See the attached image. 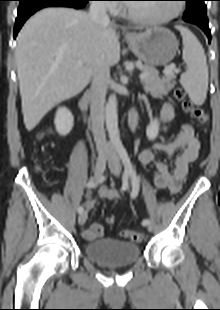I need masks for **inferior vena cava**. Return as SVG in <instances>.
Masks as SVG:
<instances>
[{
	"label": "inferior vena cava",
	"mask_w": 220,
	"mask_h": 310,
	"mask_svg": "<svg viewBox=\"0 0 220 310\" xmlns=\"http://www.w3.org/2000/svg\"><path fill=\"white\" fill-rule=\"evenodd\" d=\"M88 16L98 26L107 25L110 22L107 7L103 1H92ZM108 74L109 66L106 64L101 65L94 70L91 83L90 119L99 156L108 155L113 152L112 146L106 140L104 130V104L106 97V78Z\"/></svg>",
	"instance_id": "1"
}]
</instances>
